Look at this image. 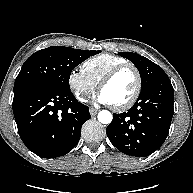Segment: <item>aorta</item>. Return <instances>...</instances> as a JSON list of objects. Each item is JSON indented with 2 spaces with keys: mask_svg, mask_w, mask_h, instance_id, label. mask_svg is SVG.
<instances>
[{
  "mask_svg": "<svg viewBox=\"0 0 193 193\" xmlns=\"http://www.w3.org/2000/svg\"><path fill=\"white\" fill-rule=\"evenodd\" d=\"M112 114L107 110H102L98 113V120L102 124H110L112 121Z\"/></svg>",
  "mask_w": 193,
  "mask_h": 193,
  "instance_id": "1",
  "label": "aorta"
}]
</instances>
